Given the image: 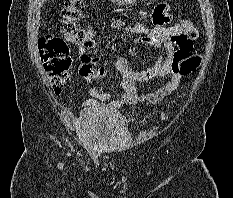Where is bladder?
<instances>
[{"label": "bladder", "instance_id": "1", "mask_svg": "<svg viewBox=\"0 0 233 198\" xmlns=\"http://www.w3.org/2000/svg\"><path fill=\"white\" fill-rule=\"evenodd\" d=\"M77 134L83 144L101 149L127 144L130 139L123 117L107 110L83 111L77 120Z\"/></svg>", "mask_w": 233, "mask_h": 198}]
</instances>
